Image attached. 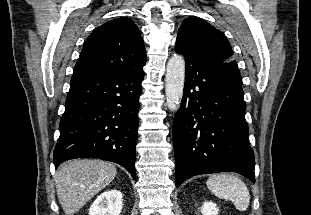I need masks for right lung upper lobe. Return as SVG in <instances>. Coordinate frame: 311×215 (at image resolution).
<instances>
[{
  "mask_svg": "<svg viewBox=\"0 0 311 215\" xmlns=\"http://www.w3.org/2000/svg\"><path fill=\"white\" fill-rule=\"evenodd\" d=\"M145 63L146 51L138 27L129 18H119L93 30L74 72L132 73Z\"/></svg>",
  "mask_w": 311,
  "mask_h": 215,
  "instance_id": "1",
  "label": "right lung upper lobe"
}]
</instances>
